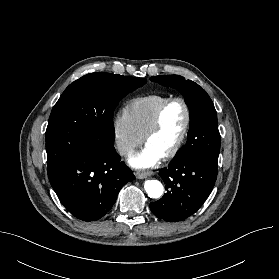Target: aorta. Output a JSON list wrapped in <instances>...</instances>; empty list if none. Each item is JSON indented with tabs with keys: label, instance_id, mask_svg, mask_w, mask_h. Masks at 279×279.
<instances>
[{
	"label": "aorta",
	"instance_id": "obj_1",
	"mask_svg": "<svg viewBox=\"0 0 279 279\" xmlns=\"http://www.w3.org/2000/svg\"><path fill=\"white\" fill-rule=\"evenodd\" d=\"M144 188L150 198H159L164 192L163 185L158 180H146Z\"/></svg>",
	"mask_w": 279,
	"mask_h": 279
}]
</instances>
